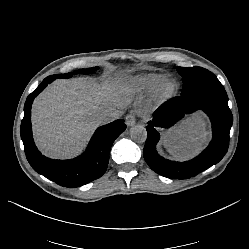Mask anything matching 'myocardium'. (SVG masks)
Wrapping results in <instances>:
<instances>
[{
	"label": "myocardium",
	"mask_w": 249,
	"mask_h": 249,
	"mask_svg": "<svg viewBox=\"0 0 249 249\" xmlns=\"http://www.w3.org/2000/svg\"><path fill=\"white\" fill-rule=\"evenodd\" d=\"M178 93V83L174 78H164L153 88L149 98V107L159 108L175 99Z\"/></svg>",
	"instance_id": "obj_1"
}]
</instances>
